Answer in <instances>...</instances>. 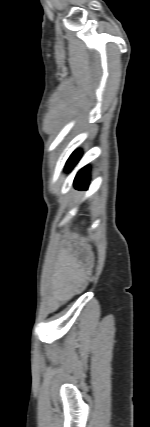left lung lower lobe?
Here are the masks:
<instances>
[{"instance_id": "0a47b994", "label": "left lung lower lobe", "mask_w": 150, "mask_h": 427, "mask_svg": "<svg viewBox=\"0 0 150 427\" xmlns=\"http://www.w3.org/2000/svg\"><path fill=\"white\" fill-rule=\"evenodd\" d=\"M80 156V151H76L71 155L66 165L67 170H70L77 163ZM89 177V169L87 167L81 169L75 177L74 186L79 190H87Z\"/></svg>"}]
</instances>
